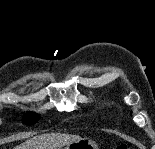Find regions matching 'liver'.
<instances>
[{
    "mask_svg": "<svg viewBox=\"0 0 155 149\" xmlns=\"http://www.w3.org/2000/svg\"><path fill=\"white\" fill-rule=\"evenodd\" d=\"M78 135L50 133L26 140L14 149H61V147L80 140Z\"/></svg>",
    "mask_w": 155,
    "mask_h": 149,
    "instance_id": "liver-1",
    "label": "liver"
}]
</instances>
